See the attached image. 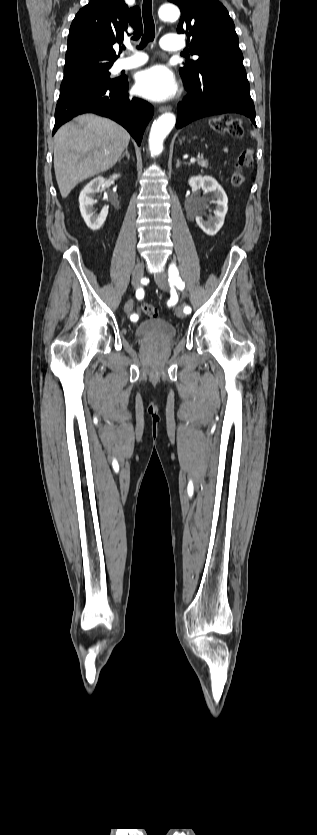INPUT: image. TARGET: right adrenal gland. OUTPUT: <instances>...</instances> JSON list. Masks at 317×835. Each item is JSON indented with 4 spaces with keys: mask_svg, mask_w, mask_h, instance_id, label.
<instances>
[{
    "mask_svg": "<svg viewBox=\"0 0 317 835\" xmlns=\"http://www.w3.org/2000/svg\"><path fill=\"white\" fill-rule=\"evenodd\" d=\"M124 156H127L128 159L130 158V154L127 148L125 149V152L120 156L118 161L120 162L124 158Z\"/></svg>",
    "mask_w": 317,
    "mask_h": 835,
    "instance_id": "right-adrenal-gland-1",
    "label": "right adrenal gland"
}]
</instances>
